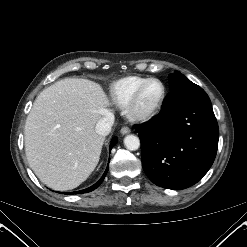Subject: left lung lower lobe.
I'll return each mask as SVG.
<instances>
[{"label": "left lung lower lobe", "mask_w": 247, "mask_h": 247, "mask_svg": "<svg viewBox=\"0 0 247 247\" xmlns=\"http://www.w3.org/2000/svg\"><path fill=\"white\" fill-rule=\"evenodd\" d=\"M134 127L143 169L160 187L188 188L213 164L219 129L211 101L198 85L171 91L158 115Z\"/></svg>", "instance_id": "0a47b994"}]
</instances>
